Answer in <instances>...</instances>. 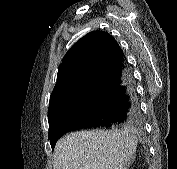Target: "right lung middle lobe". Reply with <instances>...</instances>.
I'll list each match as a JSON object with an SVG mask.
<instances>
[{
  "label": "right lung middle lobe",
  "instance_id": "1",
  "mask_svg": "<svg viewBox=\"0 0 177 169\" xmlns=\"http://www.w3.org/2000/svg\"><path fill=\"white\" fill-rule=\"evenodd\" d=\"M91 96V86L90 82L88 81L81 84L75 88L71 94L49 107V140L53 136L59 123L62 120L79 113L83 108H85L91 99Z\"/></svg>",
  "mask_w": 177,
  "mask_h": 169
}]
</instances>
